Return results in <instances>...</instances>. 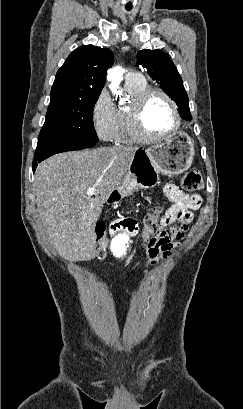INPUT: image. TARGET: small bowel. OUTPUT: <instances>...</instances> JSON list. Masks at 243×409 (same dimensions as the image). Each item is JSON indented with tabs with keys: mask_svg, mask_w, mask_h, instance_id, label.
<instances>
[{
	"mask_svg": "<svg viewBox=\"0 0 243 409\" xmlns=\"http://www.w3.org/2000/svg\"><path fill=\"white\" fill-rule=\"evenodd\" d=\"M164 193L173 202L161 219V226L167 232L163 236L151 238L145 245L147 255L145 274L150 265L171 256L185 237L192 221V211L200 205L198 195L185 194L174 184H167L164 187Z\"/></svg>",
	"mask_w": 243,
	"mask_h": 409,
	"instance_id": "c3829d8e",
	"label": "small bowel"
}]
</instances>
